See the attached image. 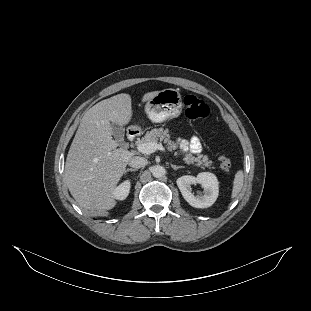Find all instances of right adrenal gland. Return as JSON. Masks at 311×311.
I'll return each instance as SVG.
<instances>
[{
    "label": "right adrenal gland",
    "instance_id": "2a0ac1e0",
    "mask_svg": "<svg viewBox=\"0 0 311 311\" xmlns=\"http://www.w3.org/2000/svg\"><path fill=\"white\" fill-rule=\"evenodd\" d=\"M137 170H138V169H132V168H130V169L125 170L124 174H126L127 172H134V171H137Z\"/></svg>",
    "mask_w": 311,
    "mask_h": 311
}]
</instances>
